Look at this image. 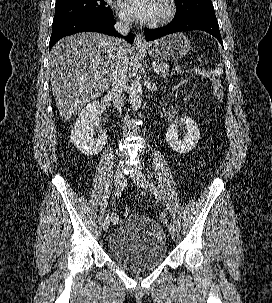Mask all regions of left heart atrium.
I'll return each mask as SVG.
<instances>
[{"mask_svg":"<svg viewBox=\"0 0 272 303\" xmlns=\"http://www.w3.org/2000/svg\"><path fill=\"white\" fill-rule=\"evenodd\" d=\"M158 0H122L121 11L124 15L139 21L153 20Z\"/></svg>","mask_w":272,"mask_h":303,"instance_id":"39dd6f15","label":"left heart atrium"}]
</instances>
